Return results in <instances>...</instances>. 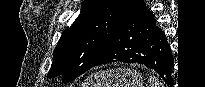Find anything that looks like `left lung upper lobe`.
<instances>
[{
  "mask_svg": "<svg viewBox=\"0 0 205 87\" xmlns=\"http://www.w3.org/2000/svg\"><path fill=\"white\" fill-rule=\"evenodd\" d=\"M136 1L84 0L56 45L47 77L61 75L67 83L92 68Z\"/></svg>",
  "mask_w": 205,
  "mask_h": 87,
  "instance_id": "1",
  "label": "left lung upper lobe"
}]
</instances>
